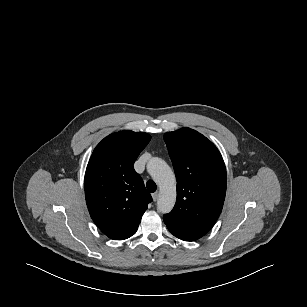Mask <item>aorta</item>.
I'll use <instances>...</instances> for the list:
<instances>
[{
	"label": "aorta",
	"instance_id": "aorta-1",
	"mask_svg": "<svg viewBox=\"0 0 307 307\" xmlns=\"http://www.w3.org/2000/svg\"><path fill=\"white\" fill-rule=\"evenodd\" d=\"M147 171L158 184L160 195L157 201V208L161 213H169L176 202V178L168 166L161 158L153 157L147 163Z\"/></svg>",
	"mask_w": 307,
	"mask_h": 307
}]
</instances>
